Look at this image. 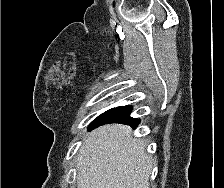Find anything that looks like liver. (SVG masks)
I'll list each match as a JSON object with an SVG mask.
<instances>
[{
	"instance_id": "liver-1",
	"label": "liver",
	"mask_w": 224,
	"mask_h": 188,
	"mask_svg": "<svg viewBox=\"0 0 224 188\" xmlns=\"http://www.w3.org/2000/svg\"><path fill=\"white\" fill-rule=\"evenodd\" d=\"M77 188H149L152 158L126 125H104L79 150Z\"/></svg>"
}]
</instances>
